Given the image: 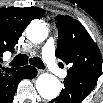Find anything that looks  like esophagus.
<instances>
[{
	"label": "esophagus",
	"instance_id": "34e87169",
	"mask_svg": "<svg viewBox=\"0 0 103 103\" xmlns=\"http://www.w3.org/2000/svg\"><path fill=\"white\" fill-rule=\"evenodd\" d=\"M37 72H38V74H42V73H44V70L38 69Z\"/></svg>",
	"mask_w": 103,
	"mask_h": 103
}]
</instances>
